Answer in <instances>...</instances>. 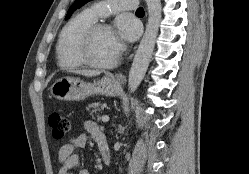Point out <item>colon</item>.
I'll return each instance as SVG.
<instances>
[{
	"instance_id": "colon-1",
	"label": "colon",
	"mask_w": 249,
	"mask_h": 174,
	"mask_svg": "<svg viewBox=\"0 0 249 174\" xmlns=\"http://www.w3.org/2000/svg\"><path fill=\"white\" fill-rule=\"evenodd\" d=\"M48 124L53 136L59 140L63 139L71 130L70 120L57 112L50 113Z\"/></svg>"
}]
</instances>
